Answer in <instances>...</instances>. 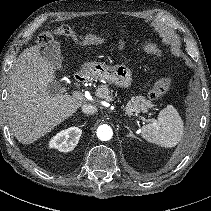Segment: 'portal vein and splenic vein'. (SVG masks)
Instances as JSON below:
<instances>
[{"label": "portal vein and splenic vein", "instance_id": "obj_1", "mask_svg": "<svg viewBox=\"0 0 211 211\" xmlns=\"http://www.w3.org/2000/svg\"><path fill=\"white\" fill-rule=\"evenodd\" d=\"M73 96L76 98V99H78V100H83L84 98H87L88 99V97L86 96V95H83L81 92H79V91H74L73 92Z\"/></svg>", "mask_w": 211, "mask_h": 211}]
</instances>
